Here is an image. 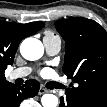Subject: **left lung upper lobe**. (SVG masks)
<instances>
[{
    "instance_id": "obj_1",
    "label": "left lung upper lobe",
    "mask_w": 107,
    "mask_h": 107,
    "mask_svg": "<svg viewBox=\"0 0 107 107\" xmlns=\"http://www.w3.org/2000/svg\"><path fill=\"white\" fill-rule=\"evenodd\" d=\"M65 40L63 72L76 83L74 90L91 95L107 91V33L94 20L75 17L55 22Z\"/></svg>"
}]
</instances>
